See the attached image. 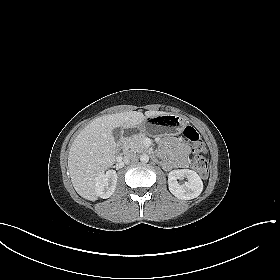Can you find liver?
I'll return each mask as SVG.
<instances>
[{"label":"liver","instance_id":"6515ba94","mask_svg":"<svg viewBox=\"0 0 280 280\" xmlns=\"http://www.w3.org/2000/svg\"><path fill=\"white\" fill-rule=\"evenodd\" d=\"M168 114L163 111H128L94 119L75 138L68 155V169L76 192L89 201H96V178L115 163L117 144L115 128H135L146 118Z\"/></svg>","mask_w":280,"mask_h":280}]
</instances>
